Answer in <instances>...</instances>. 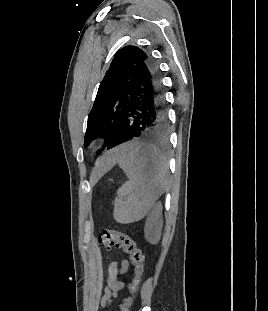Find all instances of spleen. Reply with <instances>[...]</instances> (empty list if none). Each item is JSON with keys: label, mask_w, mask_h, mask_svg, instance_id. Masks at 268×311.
<instances>
[{"label": "spleen", "mask_w": 268, "mask_h": 311, "mask_svg": "<svg viewBox=\"0 0 268 311\" xmlns=\"http://www.w3.org/2000/svg\"><path fill=\"white\" fill-rule=\"evenodd\" d=\"M113 153L128 177L117 191L113 217L122 224L139 221L166 190L168 163L146 140H125Z\"/></svg>", "instance_id": "3e777b00"}]
</instances>
